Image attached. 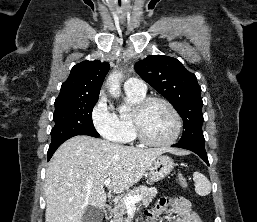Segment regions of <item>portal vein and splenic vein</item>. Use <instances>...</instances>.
<instances>
[{
	"instance_id": "obj_1",
	"label": "portal vein and splenic vein",
	"mask_w": 257,
	"mask_h": 222,
	"mask_svg": "<svg viewBox=\"0 0 257 222\" xmlns=\"http://www.w3.org/2000/svg\"><path fill=\"white\" fill-rule=\"evenodd\" d=\"M111 182V179L110 178H107L105 181H104V185H109ZM142 199V196L141 195H134V196H129V197H126L124 199V204L126 205L127 208H131V207H135V204L139 201H141Z\"/></svg>"
}]
</instances>
